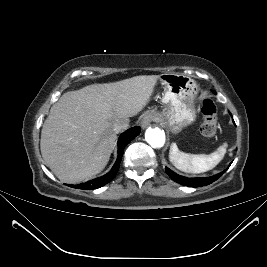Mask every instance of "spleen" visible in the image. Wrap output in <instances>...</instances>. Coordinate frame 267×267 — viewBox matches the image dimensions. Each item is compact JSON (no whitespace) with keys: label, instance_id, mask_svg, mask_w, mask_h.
I'll list each match as a JSON object with an SVG mask.
<instances>
[{"label":"spleen","instance_id":"3e777b00","mask_svg":"<svg viewBox=\"0 0 267 267\" xmlns=\"http://www.w3.org/2000/svg\"><path fill=\"white\" fill-rule=\"evenodd\" d=\"M227 143H224L209 155L188 154L178 149L173 143L170 147L169 158L179 170L188 173H202L213 169L224 157Z\"/></svg>","mask_w":267,"mask_h":267}]
</instances>
